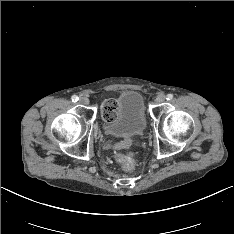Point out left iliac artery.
Returning <instances> with one entry per match:
<instances>
[{
    "instance_id": "obj_1",
    "label": "left iliac artery",
    "mask_w": 234,
    "mask_h": 234,
    "mask_svg": "<svg viewBox=\"0 0 234 234\" xmlns=\"http://www.w3.org/2000/svg\"><path fill=\"white\" fill-rule=\"evenodd\" d=\"M166 99H167V100L173 99V95H172V94H168Z\"/></svg>"
}]
</instances>
